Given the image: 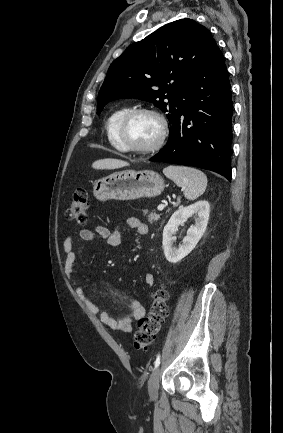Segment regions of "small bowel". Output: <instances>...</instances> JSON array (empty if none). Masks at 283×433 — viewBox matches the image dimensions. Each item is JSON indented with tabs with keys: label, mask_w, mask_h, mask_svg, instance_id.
Returning <instances> with one entry per match:
<instances>
[{
	"label": "small bowel",
	"mask_w": 283,
	"mask_h": 433,
	"mask_svg": "<svg viewBox=\"0 0 283 433\" xmlns=\"http://www.w3.org/2000/svg\"><path fill=\"white\" fill-rule=\"evenodd\" d=\"M126 224L128 227L136 230L140 235H146L149 232L148 226L136 217L127 218ZM78 235L83 241L91 242L95 240H101L105 241L112 247L120 245L122 241V233L120 229L117 228L111 231L103 225H97L94 229H80ZM63 252L65 256L64 273L70 283L74 286L77 296L85 304L87 309L91 313L97 315L99 319L114 332L128 333L132 331L135 323L140 321L146 314V310L142 303L136 299L127 298L124 295H120V298L126 301L131 313L130 315L123 316L118 319L112 317L107 311L102 310L88 297L85 292V288L77 281L74 272V262L76 255L73 251V238L70 235L67 236L63 242ZM154 281L155 277L153 273L149 272L145 274L144 282L146 285L152 286Z\"/></svg>",
	"instance_id": "c3829d8e"
}]
</instances>
